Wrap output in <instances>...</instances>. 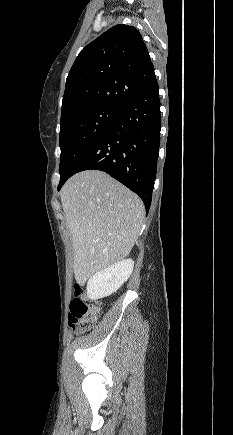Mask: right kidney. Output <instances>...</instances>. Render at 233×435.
Instances as JSON below:
<instances>
[{
	"mask_svg": "<svg viewBox=\"0 0 233 435\" xmlns=\"http://www.w3.org/2000/svg\"><path fill=\"white\" fill-rule=\"evenodd\" d=\"M134 261L122 260L104 270L95 273L87 282V296L96 300L116 292L132 274Z\"/></svg>",
	"mask_w": 233,
	"mask_h": 435,
	"instance_id": "obj_1",
	"label": "right kidney"
}]
</instances>
